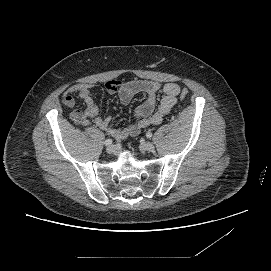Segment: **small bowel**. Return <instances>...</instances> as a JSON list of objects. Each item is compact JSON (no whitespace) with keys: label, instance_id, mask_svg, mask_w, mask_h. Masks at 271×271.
<instances>
[{"label":"small bowel","instance_id":"1","mask_svg":"<svg viewBox=\"0 0 271 271\" xmlns=\"http://www.w3.org/2000/svg\"><path fill=\"white\" fill-rule=\"evenodd\" d=\"M105 88L110 93H116L123 104H128L137 94H145V101L136 107L134 111L135 121L124 128L111 126L110 117H101L99 109L92 96V85L78 83L70 86L63 95V104L68 108H73L75 99L73 94H77L85 103V110H73L70 113L71 120L81 126L96 125L106 131L117 140L137 135L141 129L160 124L165 116L169 114L177 104V96L180 87L175 83L161 84L148 80H132L122 82L117 80L108 81ZM162 92L163 97L158 107H156V95Z\"/></svg>","mask_w":271,"mask_h":271}]
</instances>
